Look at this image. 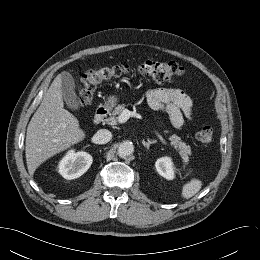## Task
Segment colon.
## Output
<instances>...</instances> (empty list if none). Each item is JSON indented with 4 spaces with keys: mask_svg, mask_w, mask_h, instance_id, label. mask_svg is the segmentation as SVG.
I'll use <instances>...</instances> for the list:
<instances>
[{
    "mask_svg": "<svg viewBox=\"0 0 260 260\" xmlns=\"http://www.w3.org/2000/svg\"><path fill=\"white\" fill-rule=\"evenodd\" d=\"M138 74L158 83L172 82L184 75L182 66L173 61L147 60L137 65H100L88 69L77 87V100L82 106L87 105L96 90L103 82L129 74ZM197 139L203 144L213 141V129L202 126L197 132Z\"/></svg>",
    "mask_w": 260,
    "mask_h": 260,
    "instance_id": "obj_1",
    "label": "colon"
}]
</instances>
